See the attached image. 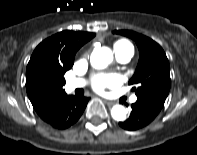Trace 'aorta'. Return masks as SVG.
I'll return each instance as SVG.
<instances>
[{
    "label": "aorta",
    "instance_id": "obj_1",
    "mask_svg": "<svg viewBox=\"0 0 197 155\" xmlns=\"http://www.w3.org/2000/svg\"><path fill=\"white\" fill-rule=\"evenodd\" d=\"M112 58V51L108 47H100L93 50L90 63L95 69H103L112 61ZM126 115L127 109L122 105H114L111 109V116L116 121H124Z\"/></svg>",
    "mask_w": 197,
    "mask_h": 155
}]
</instances>
